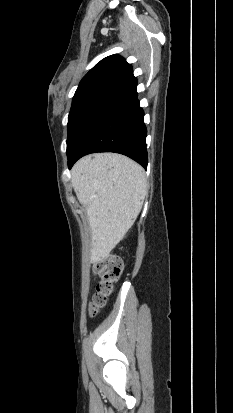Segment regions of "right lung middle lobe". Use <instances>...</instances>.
<instances>
[{
	"label": "right lung middle lobe",
	"mask_w": 233,
	"mask_h": 413,
	"mask_svg": "<svg viewBox=\"0 0 233 413\" xmlns=\"http://www.w3.org/2000/svg\"><path fill=\"white\" fill-rule=\"evenodd\" d=\"M114 83L115 80H97L77 89L68 117L67 155L90 114Z\"/></svg>",
	"instance_id": "1"
}]
</instances>
